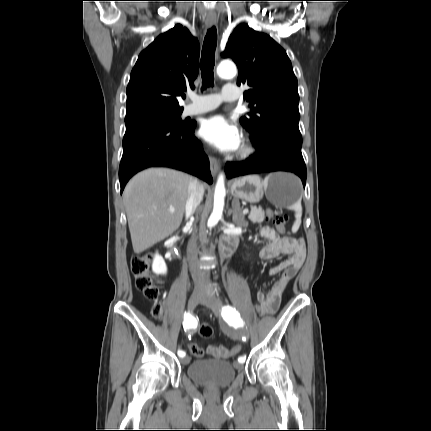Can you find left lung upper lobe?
<instances>
[{
	"mask_svg": "<svg viewBox=\"0 0 431 431\" xmlns=\"http://www.w3.org/2000/svg\"><path fill=\"white\" fill-rule=\"evenodd\" d=\"M222 56L237 64V85L249 87L244 98L250 111L240 122L251 133L253 142L274 128L300 133L298 82L279 44L267 34L240 25L230 36Z\"/></svg>",
	"mask_w": 431,
	"mask_h": 431,
	"instance_id": "obj_1",
	"label": "left lung upper lobe"
}]
</instances>
